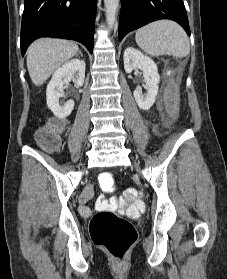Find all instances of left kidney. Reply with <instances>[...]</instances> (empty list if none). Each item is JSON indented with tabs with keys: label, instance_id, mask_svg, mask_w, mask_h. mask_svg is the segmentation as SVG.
I'll use <instances>...</instances> for the list:
<instances>
[{
	"label": "left kidney",
	"instance_id": "obj_1",
	"mask_svg": "<svg viewBox=\"0 0 227 279\" xmlns=\"http://www.w3.org/2000/svg\"><path fill=\"white\" fill-rule=\"evenodd\" d=\"M124 68L126 73H131L137 68L143 71L147 94L143 96L141 88H137L134 90L133 95L140 109L149 110L154 104L158 94L160 76L158 74L157 65L150 57L145 56L139 50L128 47L124 51Z\"/></svg>",
	"mask_w": 227,
	"mask_h": 279
}]
</instances>
